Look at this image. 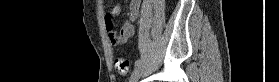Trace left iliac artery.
<instances>
[{
    "instance_id": "1",
    "label": "left iliac artery",
    "mask_w": 279,
    "mask_h": 82,
    "mask_svg": "<svg viewBox=\"0 0 279 82\" xmlns=\"http://www.w3.org/2000/svg\"><path fill=\"white\" fill-rule=\"evenodd\" d=\"M141 64V60L139 59V60H137V61H135V66H138V65H140Z\"/></svg>"
}]
</instances>
